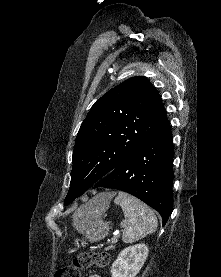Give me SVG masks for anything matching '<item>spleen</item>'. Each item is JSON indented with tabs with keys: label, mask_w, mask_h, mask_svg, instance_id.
<instances>
[{
	"label": "spleen",
	"mask_w": 221,
	"mask_h": 277,
	"mask_svg": "<svg viewBox=\"0 0 221 277\" xmlns=\"http://www.w3.org/2000/svg\"><path fill=\"white\" fill-rule=\"evenodd\" d=\"M114 202L121 206L125 217L121 222L123 242L133 243L156 231L157 218L146 204L124 192H119Z\"/></svg>",
	"instance_id": "spleen-1"
}]
</instances>
